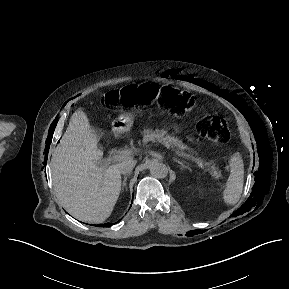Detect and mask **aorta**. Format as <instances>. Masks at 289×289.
Here are the masks:
<instances>
[{
	"instance_id": "1",
	"label": "aorta",
	"mask_w": 289,
	"mask_h": 289,
	"mask_svg": "<svg viewBox=\"0 0 289 289\" xmlns=\"http://www.w3.org/2000/svg\"><path fill=\"white\" fill-rule=\"evenodd\" d=\"M150 174L157 179H163L168 175V168L163 163L154 162L150 167Z\"/></svg>"
}]
</instances>
